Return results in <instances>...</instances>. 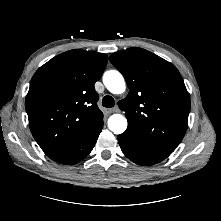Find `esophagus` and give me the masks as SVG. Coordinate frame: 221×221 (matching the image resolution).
Returning <instances> with one entry per match:
<instances>
[{
  "label": "esophagus",
  "mask_w": 221,
  "mask_h": 221,
  "mask_svg": "<svg viewBox=\"0 0 221 221\" xmlns=\"http://www.w3.org/2000/svg\"><path fill=\"white\" fill-rule=\"evenodd\" d=\"M108 112H109V113H117V112H119V108H118V107L110 108V109L108 110Z\"/></svg>",
  "instance_id": "obj_1"
}]
</instances>
